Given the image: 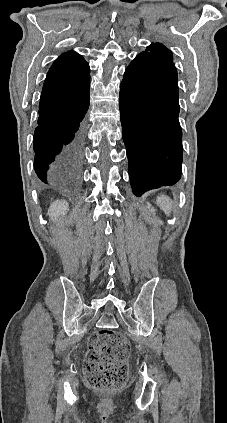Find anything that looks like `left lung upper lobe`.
<instances>
[{
	"mask_svg": "<svg viewBox=\"0 0 227 423\" xmlns=\"http://www.w3.org/2000/svg\"><path fill=\"white\" fill-rule=\"evenodd\" d=\"M125 74L154 85L169 107L179 110L177 71L172 54L164 45L154 43L148 46L130 63Z\"/></svg>",
	"mask_w": 227,
	"mask_h": 423,
	"instance_id": "obj_1",
	"label": "left lung upper lobe"
}]
</instances>
